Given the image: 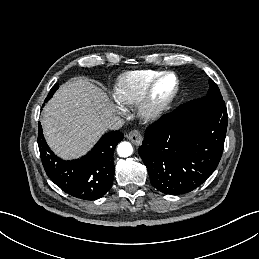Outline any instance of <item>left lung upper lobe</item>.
I'll use <instances>...</instances> for the list:
<instances>
[{
  "mask_svg": "<svg viewBox=\"0 0 259 259\" xmlns=\"http://www.w3.org/2000/svg\"><path fill=\"white\" fill-rule=\"evenodd\" d=\"M209 91L206 96L190 101L186 103L184 106H191V105H217V106H223L224 100L222 98L221 92L216 85V83L209 79Z\"/></svg>",
  "mask_w": 259,
  "mask_h": 259,
  "instance_id": "obj_1",
  "label": "left lung upper lobe"
}]
</instances>
